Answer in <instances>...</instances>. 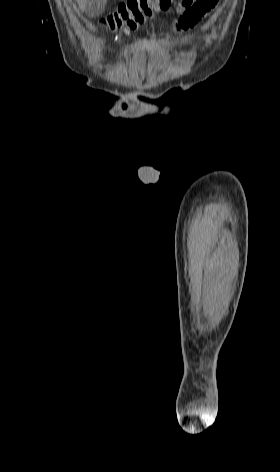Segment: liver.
Instances as JSON below:
<instances>
[{"label":"liver","mask_w":280,"mask_h":472,"mask_svg":"<svg viewBox=\"0 0 280 472\" xmlns=\"http://www.w3.org/2000/svg\"><path fill=\"white\" fill-rule=\"evenodd\" d=\"M76 1H77L78 5H79L80 9H81L82 11H85V10H86V2H87V0H76Z\"/></svg>","instance_id":"obj_1"}]
</instances>
